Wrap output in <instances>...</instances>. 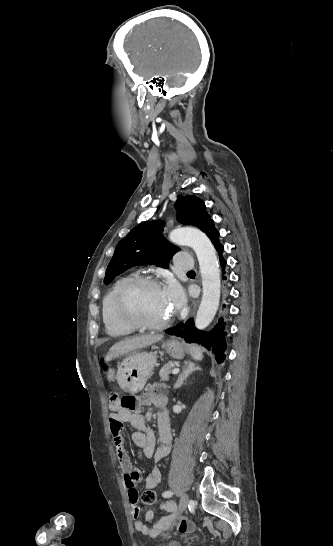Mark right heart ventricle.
Returning a JSON list of instances; mask_svg holds the SVG:
<instances>
[{"label": "right heart ventricle", "mask_w": 333, "mask_h": 546, "mask_svg": "<svg viewBox=\"0 0 333 546\" xmlns=\"http://www.w3.org/2000/svg\"><path fill=\"white\" fill-rule=\"evenodd\" d=\"M134 275H126L116 280L110 287L102 301V320L105 325L106 332L112 337H123L133 332V328L125 324L119 317L116 310V298L120 289Z\"/></svg>", "instance_id": "1"}]
</instances>
